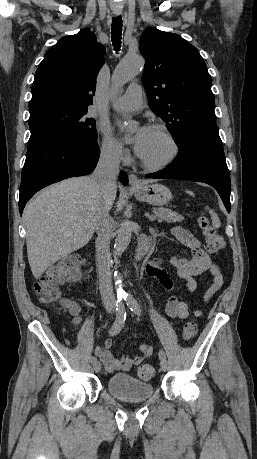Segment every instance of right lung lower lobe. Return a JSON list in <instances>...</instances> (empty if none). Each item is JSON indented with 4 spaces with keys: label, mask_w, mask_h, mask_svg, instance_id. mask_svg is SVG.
<instances>
[{
    "label": "right lung lower lobe",
    "mask_w": 257,
    "mask_h": 459,
    "mask_svg": "<svg viewBox=\"0 0 257 459\" xmlns=\"http://www.w3.org/2000/svg\"><path fill=\"white\" fill-rule=\"evenodd\" d=\"M97 142L71 139L51 133H35L28 141V151L22 169L19 210L40 189L65 178L91 173L99 159ZM121 182L128 183L125 172Z\"/></svg>",
    "instance_id": "obj_1"
}]
</instances>
